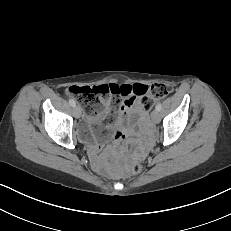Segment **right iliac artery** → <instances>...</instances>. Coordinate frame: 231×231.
Returning <instances> with one entry per match:
<instances>
[{
  "label": "right iliac artery",
  "mask_w": 231,
  "mask_h": 231,
  "mask_svg": "<svg viewBox=\"0 0 231 231\" xmlns=\"http://www.w3.org/2000/svg\"><path fill=\"white\" fill-rule=\"evenodd\" d=\"M69 104H70L71 106H73V107L76 105V103H75V101H74L73 99H70V100H69Z\"/></svg>",
  "instance_id": "obj_1"
}]
</instances>
